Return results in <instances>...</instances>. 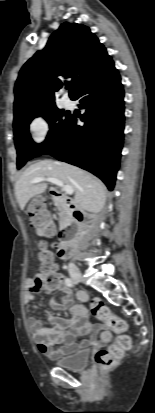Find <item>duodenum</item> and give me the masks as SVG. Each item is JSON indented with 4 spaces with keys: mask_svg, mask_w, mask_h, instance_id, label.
<instances>
[{
    "mask_svg": "<svg viewBox=\"0 0 155 413\" xmlns=\"http://www.w3.org/2000/svg\"><path fill=\"white\" fill-rule=\"evenodd\" d=\"M52 198L62 204L68 211L69 225L62 233V240L58 246V256L61 259L70 257L73 252L75 242V226L80 229L85 222L82 211L76 206L73 199L66 197L60 190L52 188L50 190Z\"/></svg>",
    "mask_w": 155,
    "mask_h": 413,
    "instance_id": "duodenum-1",
    "label": "duodenum"
}]
</instances>
